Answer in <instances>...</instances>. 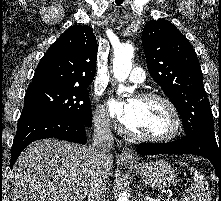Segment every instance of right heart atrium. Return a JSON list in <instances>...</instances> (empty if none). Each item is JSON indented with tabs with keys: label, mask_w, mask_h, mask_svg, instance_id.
<instances>
[{
	"label": "right heart atrium",
	"mask_w": 221,
	"mask_h": 201,
	"mask_svg": "<svg viewBox=\"0 0 221 201\" xmlns=\"http://www.w3.org/2000/svg\"><path fill=\"white\" fill-rule=\"evenodd\" d=\"M94 124L97 128L105 130L110 126L109 117L103 107L98 106L93 116Z\"/></svg>",
	"instance_id": "right-heart-atrium-1"
}]
</instances>
